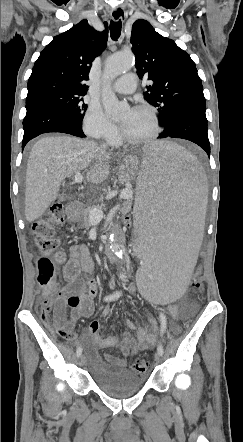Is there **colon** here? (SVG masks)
I'll use <instances>...</instances> for the list:
<instances>
[{"label": "colon", "instance_id": "1", "mask_svg": "<svg viewBox=\"0 0 243 442\" xmlns=\"http://www.w3.org/2000/svg\"><path fill=\"white\" fill-rule=\"evenodd\" d=\"M120 220L126 230L131 229L134 215L132 213H121ZM65 221V213L62 205L54 204L50 208V214L47 219H42L33 224V234L35 245L39 251L46 256H53L55 261L61 263L64 261V254L60 250V242L54 234V226L61 225ZM38 284L42 288L41 300V319L51 325L61 336L69 337V327L65 312H56L54 296L57 290L55 269L52 260L42 258L37 263ZM204 265L201 262L196 263L193 278L190 284L194 298L199 299L202 296L203 284L201 276ZM132 370L139 374H147L151 365L148 358L136 357L133 360Z\"/></svg>", "mask_w": 243, "mask_h": 442}]
</instances>
